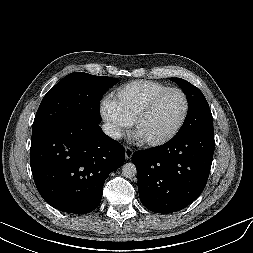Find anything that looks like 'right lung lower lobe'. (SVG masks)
I'll return each mask as SVG.
<instances>
[{
    "mask_svg": "<svg viewBox=\"0 0 253 253\" xmlns=\"http://www.w3.org/2000/svg\"><path fill=\"white\" fill-rule=\"evenodd\" d=\"M124 161V148L98 124L76 122L32 133L34 182L42 198L63 212L96 209L105 180Z\"/></svg>",
    "mask_w": 253,
    "mask_h": 253,
    "instance_id": "98d812e1",
    "label": "right lung lower lobe"
}]
</instances>
